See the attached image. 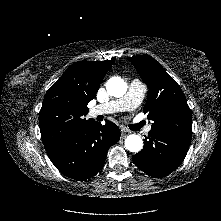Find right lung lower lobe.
Masks as SVG:
<instances>
[{"mask_svg": "<svg viewBox=\"0 0 221 221\" xmlns=\"http://www.w3.org/2000/svg\"><path fill=\"white\" fill-rule=\"evenodd\" d=\"M120 139L118 126L110 121H91L65 142L47 151L54 166L65 176L86 180L103 167L107 151Z\"/></svg>", "mask_w": 221, "mask_h": 221, "instance_id": "98d812e1", "label": "right lung lower lobe"}]
</instances>
